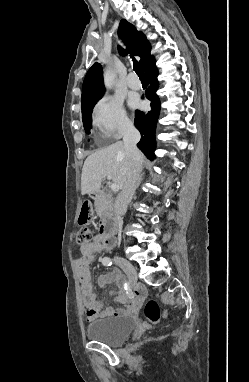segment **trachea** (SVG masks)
Instances as JSON below:
<instances>
[{"mask_svg": "<svg viewBox=\"0 0 249 382\" xmlns=\"http://www.w3.org/2000/svg\"><path fill=\"white\" fill-rule=\"evenodd\" d=\"M131 58H132V61H133V70L136 72L138 77L139 78H146V74L141 69V66H140L139 62L133 56H131Z\"/></svg>", "mask_w": 249, "mask_h": 382, "instance_id": "trachea-1", "label": "trachea"}]
</instances>
